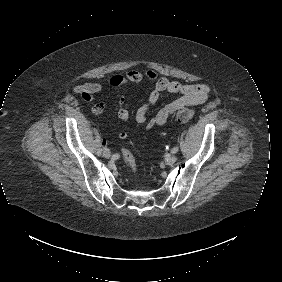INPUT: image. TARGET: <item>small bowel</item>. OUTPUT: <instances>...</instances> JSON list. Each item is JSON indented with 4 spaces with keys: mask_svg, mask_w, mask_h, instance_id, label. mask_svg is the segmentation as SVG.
I'll return each mask as SVG.
<instances>
[{
    "mask_svg": "<svg viewBox=\"0 0 282 282\" xmlns=\"http://www.w3.org/2000/svg\"><path fill=\"white\" fill-rule=\"evenodd\" d=\"M142 81L154 82L147 101L135 113V120L139 124H144L146 129L160 127L174 115L175 107L180 103L198 105L204 103L210 94V87L206 84H182L171 81L166 77H160L155 70H148L144 73L138 71H130L123 75H115L109 80L111 87H120L130 84L141 83ZM102 86L98 83H89L74 87L73 91L79 94L83 99L92 100L100 91ZM166 94H178V98L166 104L154 115L150 116L151 109L156 105L158 100ZM105 109V104L99 102L92 107L94 115L101 114ZM129 106L125 102V98L121 95L118 99V117L127 120L130 117ZM119 138L124 140L127 138V132L122 130ZM106 139H104V142Z\"/></svg>",
    "mask_w": 282,
    "mask_h": 282,
    "instance_id": "obj_1",
    "label": "small bowel"
}]
</instances>
